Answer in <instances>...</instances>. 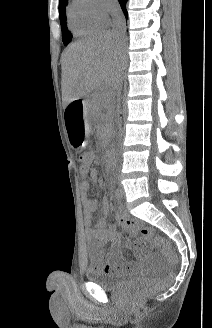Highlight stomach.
<instances>
[{
    "instance_id": "obj_1",
    "label": "stomach",
    "mask_w": 212,
    "mask_h": 328,
    "mask_svg": "<svg viewBox=\"0 0 212 328\" xmlns=\"http://www.w3.org/2000/svg\"><path fill=\"white\" fill-rule=\"evenodd\" d=\"M81 108V102H70L69 105H65L63 120L67 128L66 134L69 135L70 145L77 146L79 149L85 145V128L87 125L86 110Z\"/></svg>"
}]
</instances>
